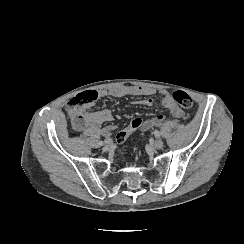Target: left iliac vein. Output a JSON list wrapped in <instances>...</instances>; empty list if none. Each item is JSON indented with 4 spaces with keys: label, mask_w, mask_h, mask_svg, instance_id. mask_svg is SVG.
<instances>
[{
    "label": "left iliac vein",
    "mask_w": 244,
    "mask_h": 244,
    "mask_svg": "<svg viewBox=\"0 0 244 244\" xmlns=\"http://www.w3.org/2000/svg\"><path fill=\"white\" fill-rule=\"evenodd\" d=\"M153 146L156 149H161L163 147V141L161 139H157L153 142Z\"/></svg>",
    "instance_id": "left-iliac-vein-1"
}]
</instances>
